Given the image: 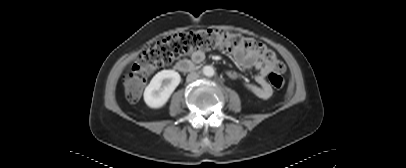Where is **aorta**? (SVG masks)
I'll list each match as a JSON object with an SVG mask.
<instances>
[{"label": "aorta", "mask_w": 406, "mask_h": 168, "mask_svg": "<svg viewBox=\"0 0 406 168\" xmlns=\"http://www.w3.org/2000/svg\"><path fill=\"white\" fill-rule=\"evenodd\" d=\"M202 72L205 76L212 77L214 75V69L212 66H204Z\"/></svg>", "instance_id": "1"}]
</instances>
